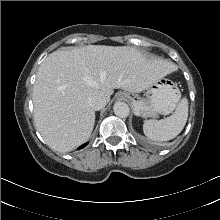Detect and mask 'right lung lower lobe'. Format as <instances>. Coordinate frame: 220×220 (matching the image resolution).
Masks as SVG:
<instances>
[{
	"instance_id": "1",
	"label": "right lung lower lobe",
	"mask_w": 220,
	"mask_h": 220,
	"mask_svg": "<svg viewBox=\"0 0 220 220\" xmlns=\"http://www.w3.org/2000/svg\"><path fill=\"white\" fill-rule=\"evenodd\" d=\"M86 145H87V143L83 144L82 146L79 147V149L84 148Z\"/></svg>"
}]
</instances>
